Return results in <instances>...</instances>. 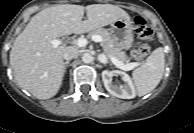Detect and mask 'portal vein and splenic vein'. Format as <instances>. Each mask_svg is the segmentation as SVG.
<instances>
[{
	"label": "portal vein and splenic vein",
	"instance_id": "portal-vein-and-splenic-vein-1",
	"mask_svg": "<svg viewBox=\"0 0 194 133\" xmlns=\"http://www.w3.org/2000/svg\"><path fill=\"white\" fill-rule=\"evenodd\" d=\"M92 40L94 42H102L103 39L100 35H93L92 36ZM88 41L85 38H78L72 41V44L77 45L78 47H85L87 45ZM50 44L56 48L60 45L65 44L62 40L59 39H53L50 40ZM111 62L116 65L118 68L123 69V70H132L133 68H135L136 66H139L140 64L137 62H133V63H128V64H124L121 61H119L117 58L110 56L109 57Z\"/></svg>",
	"mask_w": 194,
	"mask_h": 133
}]
</instances>
